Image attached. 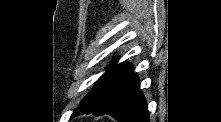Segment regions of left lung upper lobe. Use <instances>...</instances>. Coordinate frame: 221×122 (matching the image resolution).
<instances>
[{
	"mask_svg": "<svg viewBox=\"0 0 221 122\" xmlns=\"http://www.w3.org/2000/svg\"><path fill=\"white\" fill-rule=\"evenodd\" d=\"M114 63L112 62L111 65L107 68V72L103 74L96 82L94 88L89 92V94L81 101L79 107L83 105L97 90L98 88L102 85V83L105 81V79L109 76V74L115 69Z\"/></svg>",
	"mask_w": 221,
	"mask_h": 122,
	"instance_id": "obj_1",
	"label": "left lung upper lobe"
}]
</instances>
